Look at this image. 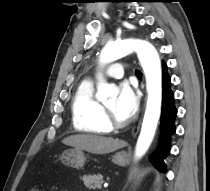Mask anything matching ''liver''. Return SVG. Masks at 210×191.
I'll return each instance as SVG.
<instances>
[{
    "mask_svg": "<svg viewBox=\"0 0 210 191\" xmlns=\"http://www.w3.org/2000/svg\"><path fill=\"white\" fill-rule=\"evenodd\" d=\"M62 143L94 154H107L126 145L123 140L91 134L71 135L64 138Z\"/></svg>",
    "mask_w": 210,
    "mask_h": 191,
    "instance_id": "obj_1",
    "label": "liver"
}]
</instances>
